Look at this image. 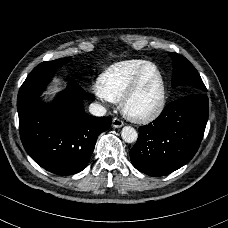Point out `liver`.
Instances as JSON below:
<instances>
[{"label":"liver","mask_w":228,"mask_h":228,"mask_svg":"<svg viewBox=\"0 0 228 228\" xmlns=\"http://www.w3.org/2000/svg\"><path fill=\"white\" fill-rule=\"evenodd\" d=\"M66 86V82L62 78L55 77L53 78L52 83L48 86L47 91L44 93L49 95V101L53 99L55 94L61 91ZM47 98H45L46 100Z\"/></svg>","instance_id":"liver-1"}]
</instances>
